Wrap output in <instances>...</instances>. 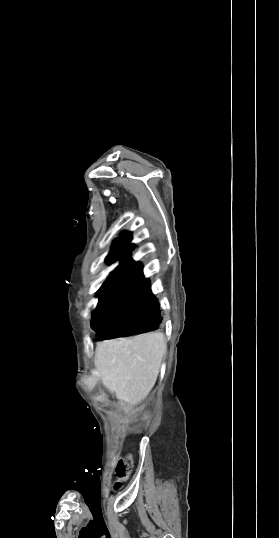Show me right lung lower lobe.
<instances>
[{"instance_id": "obj_1", "label": "right lung lower lobe", "mask_w": 279, "mask_h": 538, "mask_svg": "<svg viewBox=\"0 0 279 538\" xmlns=\"http://www.w3.org/2000/svg\"><path fill=\"white\" fill-rule=\"evenodd\" d=\"M131 239L130 232H122L106 258L107 263H121L97 293L91 327L98 340L154 331L163 321L150 281L143 278L142 265L132 260L135 245L129 244Z\"/></svg>"}]
</instances>
